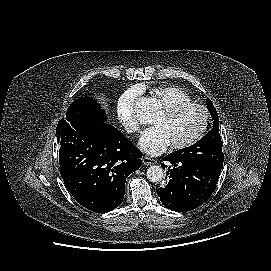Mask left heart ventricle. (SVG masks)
<instances>
[{
  "mask_svg": "<svg viewBox=\"0 0 271 271\" xmlns=\"http://www.w3.org/2000/svg\"><path fill=\"white\" fill-rule=\"evenodd\" d=\"M203 113L197 108H188L174 116L168 117L160 112L153 120L167 135L170 144H177L192 137L201 127Z\"/></svg>",
  "mask_w": 271,
  "mask_h": 271,
  "instance_id": "1",
  "label": "left heart ventricle"
}]
</instances>
